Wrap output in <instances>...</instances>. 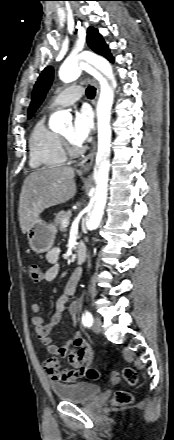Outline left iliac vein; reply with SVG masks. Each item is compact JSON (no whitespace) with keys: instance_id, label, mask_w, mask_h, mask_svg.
Listing matches in <instances>:
<instances>
[{"instance_id":"4c4485c4","label":"left iliac vein","mask_w":174,"mask_h":440,"mask_svg":"<svg viewBox=\"0 0 174 440\" xmlns=\"http://www.w3.org/2000/svg\"><path fill=\"white\" fill-rule=\"evenodd\" d=\"M92 329L95 333H100L102 329V321L100 318L96 317L92 324Z\"/></svg>"}]
</instances>
